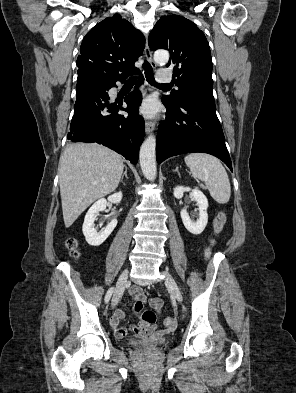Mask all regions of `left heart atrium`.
<instances>
[{
  "label": "left heart atrium",
  "instance_id": "1",
  "mask_svg": "<svg viewBox=\"0 0 296 393\" xmlns=\"http://www.w3.org/2000/svg\"><path fill=\"white\" fill-rule=\"evenodd\" d=\"M157 112H158V104L156 100L153 98L146 99L140 107V113L145 117H154L157 114Z\"/></svg>",
  "mask_w": 296,
  "mask_h": 393
}]
</instances>
